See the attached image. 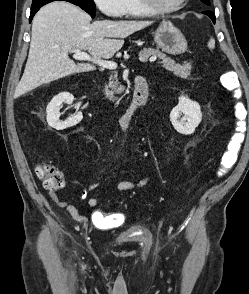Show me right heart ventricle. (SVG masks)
I'll return each mask as SVG.
<instances>
[{"instance_id":"e07e8e85","label":"right heart ventricle","mask_w":249,"mask_h":294,"mask_svg":"<svg viewBox=\"0 0 249 294\" xmlns=\"http://www.w3.org/2000/svg\"><path fill=\"white\" fill-rule=\"evenodd\" d=\"M150 15L139 0H122L120 16L144 17Z\"/></svg>"}]
</instances>
